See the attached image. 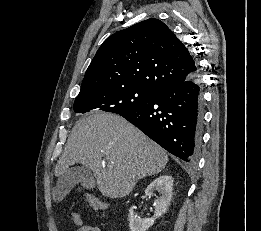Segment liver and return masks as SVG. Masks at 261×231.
Wrapping results in <instances>:
<instances>
[{
	"label": "liver",
	"instance_id": "obj_1",
	"mask_svg": "<svg viewBox=\"0 0 261 231\" xmlns=\"http://www.w3.org/2000/svg\"><path fill=\"white\" fill-rule=\"evenodd\" d=\"M168 162L163 148L119 115L93 112L75 124L55 176L64 175L79 163L93 172L81 186L110 198L124 197L137 180L161 172Z\"/></svg>",
	"mask_w": 261,
	"mask_h": 231
}]
</instances>
